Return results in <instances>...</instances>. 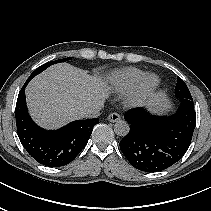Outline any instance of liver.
<instances>
[{"mask_svg":"<svg viewBox=\"0 0 211 211\" xmlns=\"http://www.w3.org/2000/svg\"><path fill=\"white\" fill-rule=\"evenodd\" d=\"M108 96L105 83L84 70L61 63L36 76L26 88L30 115L41 127L59 128Z\"/></svg>","mask_w":211,"mask_h":211,"instance_id":"6515ba94","label":"liver"}]
</instances>
